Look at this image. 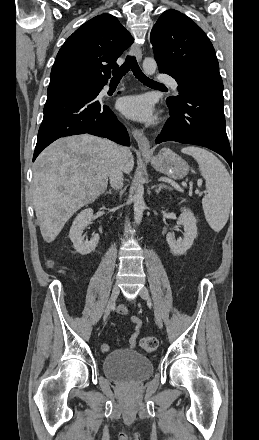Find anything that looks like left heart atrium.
<instances>
[{
  "label": "left heart atrium",
  "mask_w": 259,
  "mask_h": 440,
  "mask_svg": "<svg viewBox=\"0 0 259 440\" xmlns=\"http://www.w3.org/2000/svg\"><path fill=\"white\" fill-rule=\"evenodd\" d=\"M121 112L139 121H151L154 117V107L146 95H134L122 98L118 102Z\"/></svg>",
  "instance_id": "39dd6f15"
}]
</instances>
